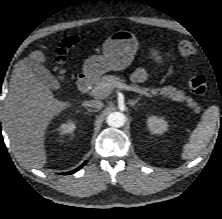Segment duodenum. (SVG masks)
I'll return each instance as SVG.
<instances>
[{
    "label": "duodenum",
    "instance_id": "obj_1",
    "mask_svg": "<svg viewBox=\"0 0 222 219\" xmlns=\"http://www.w3.org/2000/svg\"><path fill=\"white\" fill-rule=\"evenodd\" d=\"M93 84V77L91 74L81 75L77 81L78 89L82 93H87Z\"/></svg>",
    "mask_w": 222,
    "mask_h": 219
}]
</instances>
